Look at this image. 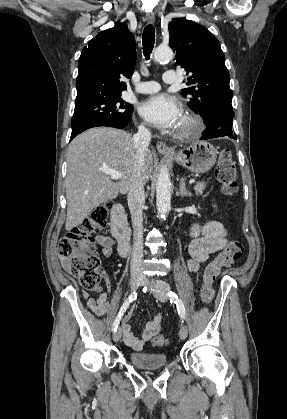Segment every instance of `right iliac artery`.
Wrapping results in <instances>:
<instances>
[{
	"label": "right iliac artery",
	"instance_id": "obj_1",
	"mask_svg": "<svg viewBox=\"0 0 287 419\" xmlns=\"http://www.w3.org/2000/svg\"><path fill=\"white\" fill-rule=\"evenodd\" d=\"M137 298V293L134 291L133 293H131L128 298L124 301L123 305L121 306V309L113 323V327H112V331H116L118 328V325L120 323V320L124 314V312L126 311V309L129 307V305Z\"/></svg>",
	"mask_w": 287,
	"mask_h": 419
}]
</instances>
